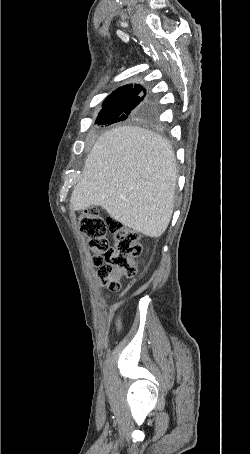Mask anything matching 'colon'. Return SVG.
<instances>
[{"label": "colon", "instance_id": "obj_1", "mask_svg": "<svg viewBox=\"0 0 250 454\" xmlns=\"http://www.w3.org/2000/svg\"><path fill=\"white\" fill-rule=\"evenodd\" d=\"M79 228L87 238L100 281L109 291H118L121 278L133 277L137 272L134 259L142 252L139 234L114 219L104 218L95 208L82 213ZM109 233L114 235L113 245Z\"/></svg>", "mask_w": 250, "mask_h": 454}]
</instances>
